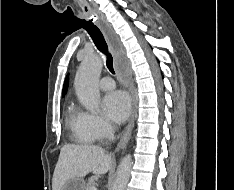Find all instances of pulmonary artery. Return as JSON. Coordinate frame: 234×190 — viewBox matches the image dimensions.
I'll return each instance as SVG.
<instances>
[{
  "mask_svg": "<svg viewBox=\"0 0 234 190\" xmlns=\"http://www.w3.org/2000/svg\"><path fill=\"white\" fill-rule=\"evenodd\" d=\"M99 86L104 91H110L115 88V83L110 76H105L100 80Z\"/></svg>",
  "mask_w": 234,
  "mask_h": 190,
  "instance_id": "1",
  "label": "pulmonary artery"
}]
</instances>
